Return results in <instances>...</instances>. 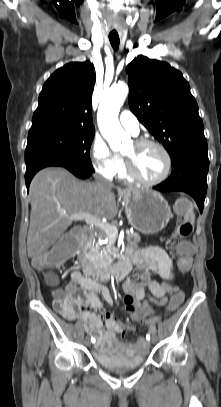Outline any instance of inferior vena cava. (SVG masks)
Returning <instances> with one entry per match:
<instances>
[{
	"label": "inferior vena cava",
	"instance_id": "602c4592",
	"mask_svg": "<svg viewBox=\"0 0 221 407\" xmlns=\"http://www.w3.org/2000/svg\"><path fill=\"white\" fill-rule=\"evenodd\" d=\"M95 180L97 183L109 184V182L107 180H105L103 177H101L100 175H95Z\"/></svg>",
	"mask_w": 221,
	"mask_h": 407
}]
</instances>
